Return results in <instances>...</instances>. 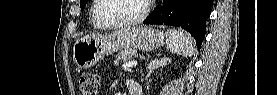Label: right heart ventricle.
<instances>
[{
    "instance_id": "e07e8e85",
    "label": "right heart ventricle",
    "mask_w": 277,
    "mask_h": 95,
    "mask_svg": "<svg viewBox=\"0 0 277 95\" xmlns=\"http://www.w3.org/2000/svg\"><path fill=\"white\" fill-rule=\"evenodd\" d=\"M98 0H94V6L97 4ZM92 24L95 28H101V25L98 24L96 21L92 20Z\"/></svg>"
}]
</instances>
